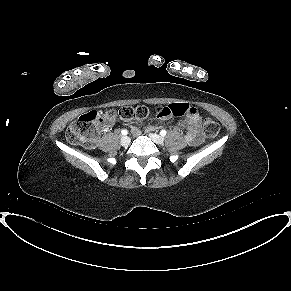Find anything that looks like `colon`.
<instances>
[{"label": "colon", "instance_id": "5ec220e1", "mask_svg": "<svg viewBox=\"0 0 291 291\" xmlns=\"http://www.w3.org/2000/svg\"><path fill=\"white\" fill-rule=\"evenodd\" d=\"M192 111V107L185 103H175L166 107H157L154 113L157 117L165 118L170 115L181 116ZM149 111L144 106H125L120 110L109 109L105 113L89 111L75 120L67 130V140L73 144L94 146L98 135V123L102 117L108 119L120 118L124 121H143L148 117ZM203 132L209 139L215 138L219 133V125L212 118L206 117L202 123Z\"/></svg>", "mask_w": 291, "mask_h": 291}]
</instances>
